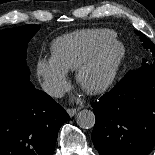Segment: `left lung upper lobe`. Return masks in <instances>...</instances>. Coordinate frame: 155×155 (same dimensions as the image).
<instances>
[{
    "mask_svg": "<svg viewBox=\"0 0 155 155\" xmlns=\"http://www.w3.org/2000/svg\"><path fill=\"white\" fill-rule=\"evenodd\" d=\"M135 33L140 36V40L143 42L144 48L147 50H150V52L152 53V56L155 57V45L141 32L135 31ZM146 64H152L155 66V58L153 63H148L146 59H143L142 66Z\"/></svg>",
    "mask_w": 155,
    "mask_h": 155,
    "instance_id": "1",
    "label": "left lung upper lobe"
}]
</instances>
